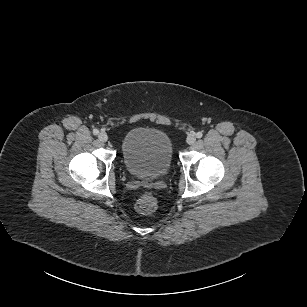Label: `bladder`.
<instances>
[{
  "label": "bladder",
  "instance_id": "31cf9c89",
  "mask_svg": "<svg viewBox=\"0 0 307 307\" xmlns=\"http://www.w3.org/2000/svg\"><path fill=\"white\" fill-rule=\"evenodd\" d=\"M126 170L140 179H156L170 168L172 142L162 130L138 127L130 130L121 144Z\"/></svg>",
  "mask_w": 307,
  "mask_h": 307
}]
</instances>
